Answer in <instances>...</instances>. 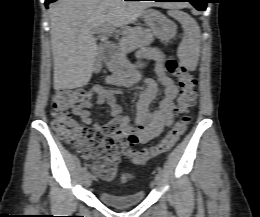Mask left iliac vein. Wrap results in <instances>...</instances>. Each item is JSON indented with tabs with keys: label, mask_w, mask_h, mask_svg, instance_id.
Segmentation results:
<instances>
[{
	"label": "left iliac vein",
	"mask_w": 260,
	"mask_h": 217,
	"mask_svg": "<svg viewBox=\"0 0 260 217\" xmlns=\"http://www.w3.org/2000/svg\"><path fill=\"white\" fill-rule=\"evenodd\" d=\"M154 182H155L157 187H161V185H162V177H161L160 174L157 173L155 175Z\"/></svg>",
	"instance_id": "1"
}]
</instances>
